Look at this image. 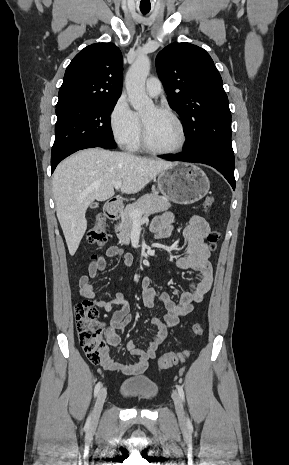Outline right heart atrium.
Returning a JSON list of instances; mask_svg holds the SVG:
<instances>
[{"label": "right heart atrium", "mask_w": 289, "mask_h": 465, "mask_svg": "<svg viewBox=\"0 0 289 465\" xmlns=\"http://www.w3.org/2000/svg\"><path fill=\"white\" fill-rule=\"evenodd\" d=\"M109 126L114 140L128 147L141 132L138 114L131 109L124 97H119L109 113Z\"/></svg>", "instance_id": "d8ad5b80"}]
</instances>
